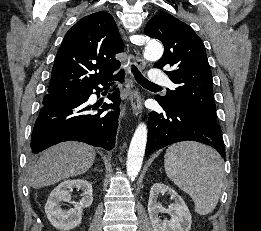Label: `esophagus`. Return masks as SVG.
Wrapping results in <instances>:
<instances>
[{"instance_id": "obj_1", "label": "esophagus", "mask_w": 261, "mask_h": 231, "mask_svg": "<svg viewBox=\"0 0 261 231\" xmlns=\"http://www.w3.org/2000/svg\"><path fill=\"white\" fill-rule=\"evenodd\" d=\"M138 39H139V35H132L130 37L131 42L134 44H136ZM135 65L140 69H143L146 65L145 60L138 53H136ZM129 100H130V104H131L133 113L135 115H138L139 113H141L142 108H143V97H142L141 93L139 92V90L135 87V85H132V89H131L130 95H129Z\"/></svg>"}]
</instances>
